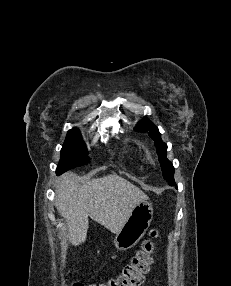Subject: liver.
<instances>
[{"label":"liver","instance_id":"obj_1","mask_svg":"<svg viewBox=\"0 0 231 286\" xmlns=\"http://www.w3.org/2000/svg\"><path fill=\"white\" fill-rule=\"evenodd\" d=\"M56 194L55 206L67 220V237L74 246L86 241L88 217L117 233L135 206L148 199L142 190L116 174L81 185L73 174L66 173L57 185Z\"/></svg>","mask_w":231,"mask_h":286}]
</instances>
